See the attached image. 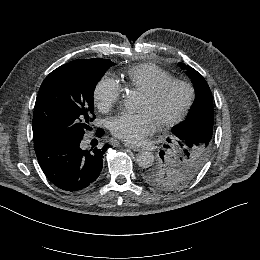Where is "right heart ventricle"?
Masks as SVG:
<instances>
[{"mask_svg": "<svg viewBox=\"0 0 260 260\" xmlns=\"http://www.w3.org/2000/svg\"><path fill=\"white\" fill-rule=\"evenodd\" d=\"M122 78L127 88L142 93L152 89L162 81L172 79V75L158 66L141 64L130 68Z\"/></svg>", "mask_w": 260, "mask_h": 260, "instance_id": "e07e8e85", "label": "right heart ventricle"}]
</instances>
